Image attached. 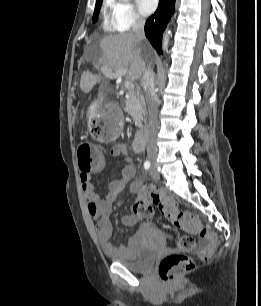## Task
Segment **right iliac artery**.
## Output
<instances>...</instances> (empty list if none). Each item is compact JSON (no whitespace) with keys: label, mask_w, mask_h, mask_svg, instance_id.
<instances>
[{"label":"right iliac artery","mask_w":261,"mask_h":306,"mask_svg":"<svg viewBox=\"0 0 261 306\" xmlns=\"http://www.w3.org/2000/svg\"><path fill=\"white\" fill-rule=\"evenodd\" d=\"M144 168H145V170H148L150 168V162L149 161H145Z\"/></svg>","instance_id":"obj_1"}]
</instances>
